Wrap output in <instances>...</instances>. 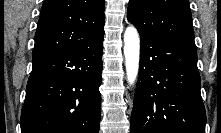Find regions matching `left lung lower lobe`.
<instances>
[{"instance_id": "0a47b994", "label": "left lung lower lobe", "mask_w": 221, "mask_h": 133, "mask_svg": "<svg viewBox=\"0 0 221 133\" xmlns=\"http://www.w3.org/2000/svg\"><path fill=\"white\" fill-rule=\"evenodd\" d=\"M131 133H205L195 45L140 34Z\"/></svg>"}]
</instances>
